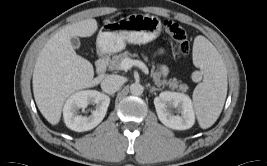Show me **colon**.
Here are the masks:
<instances>
[{
  "instance_id": "colon-1",
  "label": "colon",
  "mask_w": 267,
  "mask_h": 166,
  "mask_svg": "<svg viewBox=\"0 0 267 166\" xmlns=\"http://www.w3.org/2000/svg\"><path fill=\"white\" fill-rule=\"evenodd\" d=\"M163 26L165 32L177 43L180 53L187 55L190 51V43L185 29L172 20H165Z\"/></svg>"
}]
</instances>
